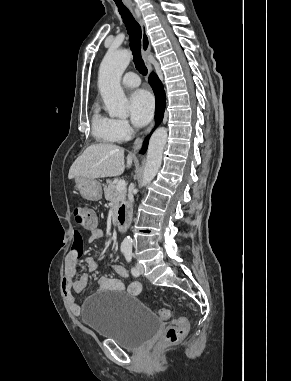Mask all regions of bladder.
I'll return each mask as SVG.
<instances>
[{"label": "bladder", "instance_id": "obj_1", "mask_svg": "<svg viewBox=\"0 0 291 381\" xmlns=\"http://www.w3.org/2000/svg\"><path fill=\"white\" fill-rule=\"evenodd\" d=\"M82 320L101 338L116 341L121 347H144L161 327V321L135 295L108 297L98 293L86 301Z\"/></svg>", "mask_w": 291, "mask_h": 381}]
</instances>
